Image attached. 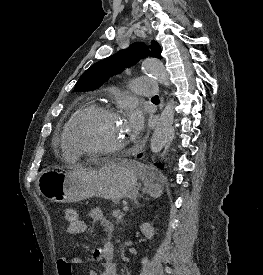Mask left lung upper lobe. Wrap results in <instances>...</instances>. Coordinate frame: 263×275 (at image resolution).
<instances>
[{
  "mask_svg": "<svg viewBox=\"0 0 263 275\" xmlns=\"http://www.w3.org/2000/svg\"><path fill=\"white\" fill-rule=\"evenodd\" d=\"M148 51L144 43H134L128 49L103 59L88 68L79 78L74 91H91L105 83L110 77L122 72L142 58L147 56L162 58L161 49L156 41H152Z\"/></svg>",
  "mask_w": 263,
  "mask_h": 275,
  "instance_id": "left-lung-upper-lobe-1",
  "label": "left lung upper lobe"
}]
</instances>
